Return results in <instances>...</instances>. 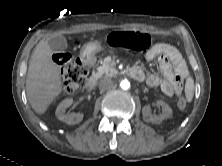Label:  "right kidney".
Segmentation results:
<instances>
[{"mask_svg":"<svg viewBox=\"0 0 222 166\" xmlns=\"http://www.w3.org/2000/svg\"><path fill=\"white\" fill-rule=\"evenodd\" d=\"M73 103L72 98L64 99L58 106L55 112L56 117L65 122L66 124H78L83 120L84 115L82 113H65L66 109Z\"/></svg>","mask_w":222,"mask_h":166,"instance_id":"1","label":"right kidney"}]
</instances>
